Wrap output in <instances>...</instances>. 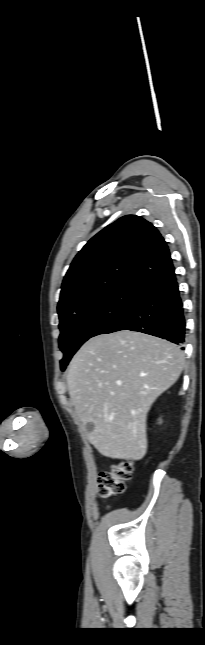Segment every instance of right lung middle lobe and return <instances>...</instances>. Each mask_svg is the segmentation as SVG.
<instances>
[{"instance_id": "dd1d6c3e", "label": "right lung middle lobe", "mask_w": 205, "mask_h": 645, "mask_svg": "<svg viewBox=\"0 0 205 645\" xmlns=\"http://www.w3.org/2000/svg\"><path fill=\"white\" fill-rule=\"evenodd\" d=\"M141 285L126 283L75 301L59 311V346L64 371L73 354L89 338L101 334L138 300Z\"/></svg>"}]
</instances>
